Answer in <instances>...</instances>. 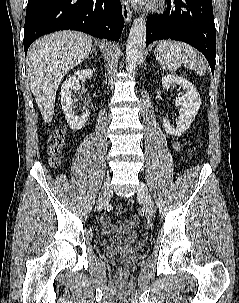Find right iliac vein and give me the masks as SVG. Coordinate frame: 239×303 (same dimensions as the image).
<instances>
[{
    "instance_id": "63e3f726",
    "label": "right iliac vein",
    "mask_w": 239,
    "mask_h": 303,
    "mask_svg": "<svg viewBox=\"0 0 239 303\" xmlns=\"http://www.w3.org/2000/svg\"><path fill=\"white\" fill-rule=\"evenodd\" d=\"M111 197V188H110V179L107 178L103 183L98 200H97V209L101 211L105 208L108 203V200Z\"/></svg>"
}]
</instances>
